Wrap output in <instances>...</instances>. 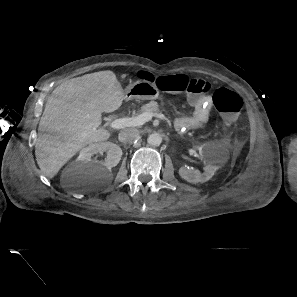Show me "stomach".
Wrapping results in <instances>:
<instances>
[{
	"label": "stomach",
	"instance_id": "1",
	"mask_svg": "<svg viewBox=\"0 0 297 297\" xmlns=\"http://www.w3.org/2000/svg\"><path fill=\"white\" fill-rule=\"evenodd\" d=\"M159 89L148 80H138L128 85L124 92V99L153 100L159 96Z\"/></svg>",
	"mask_w": 297,
	"mask_h": 297
}]
</instances>
